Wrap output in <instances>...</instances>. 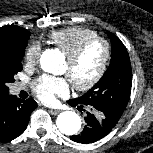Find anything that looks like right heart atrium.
I'll use <instances>...</instances> for the list:
<instances>
[{
	"instance_id": "obj_1",
	"label": "right heart atrium",
	"mask_w": 153,
	"mask_h": 153,
	"mask_svg": "<svg viewBox=\"0 0 153 153\" xmlns=\"http://www.w3.org/2000/svg\"><path fill=\"white\" fill-rule=\"evenodd\" d=\"M40 45L37 42L29 44L25 51V61L28 65H34L37 63L40 56Z\"/></svg>"
}]
</instances>
